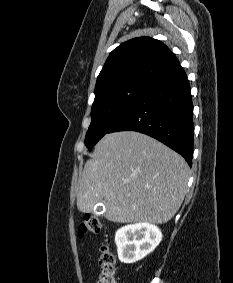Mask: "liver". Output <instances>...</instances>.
Segmentation results:
<instances>
[{"label": "liver", "instance_id": "6515ba94", "mask_svg": "<svg viewBox=\"0 0 233 283\" xmlns=\"http://www.w3.org/2000/svg\"><path fill=\"white\" fill-rule=\"evenodd\" d=\"M188 178L185 159L156 139L135 131L109 133L84 165L77 208L89 213L104 203L109 221L163 224L179 210Z\"/></svg>", "mask_w": 233, "mask_h": 283}]
</instances>
